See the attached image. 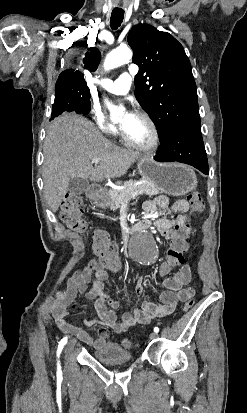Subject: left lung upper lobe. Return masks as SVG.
Masks as SVG:
<instances>
[{"mask_svg": "<svg viewBox=\"0 0 247 413\" xmlns=\"http://www.w3.org/2000/svg\"><path fill=\"white\" fill-rule=\"evenodd\" d=\"M135 76V96L154 121L162 140L181 128L201 130L196 84L182 45L169 33L148 24L128 35Z\"/></svg>", "mask_w": 247, "mask_h": 413, "instance_id": "5c2ea615", "label": "left lung upper lobe"}]
</instances>
